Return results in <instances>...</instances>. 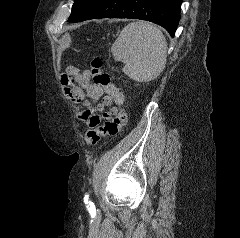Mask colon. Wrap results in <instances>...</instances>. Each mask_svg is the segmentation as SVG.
Segmentation results:
<instances>
[{
    "label": "colon",
    "mask_w": 240,
    "mask_h": 238,
    "mask_svg": "<svg viewBox=\"0 0 240 238\" xmlns=\"http://www.w3.org/2000/svg\"><path fill=\"white\" fill-rule=\"evenodd\" d=\"M91 76L95 83L103 87L105 92L112 96L115 101L122 107L120 112L109 119H106L103 124H99L90 128L85 136V143L88 146L96 145L102 137L117 135L126 124L127 115L123 108L124 95L113 84L109 73L101 70L102 60L96 57L91 63Z\"/></svg>",
    "instance_id": "colon-1"
}]
</instances>
